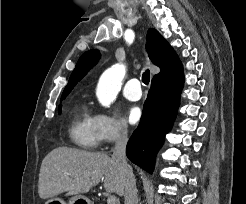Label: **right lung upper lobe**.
<instances>
[{"instance_id":"1","label":"right lung upper lobe","mask_w":246,"mask_h":204,"mask_svg":"<svg viewBox=\"0 0 246 204\" xmlns=\"http://www.w3.org/2000/svg\"><path fill=\"white\" fill-rule=\"evenodd\" d=\"M146 48L151 61L161 69V72L157 75L166 74L182 66L173 48L155 29L151 28L148 30ZM99 58L100 54L98 50H89L79 58L69 82L63 91L62 97H66L69 94L77 82L97 63Z\"/></svg>"}]
</instances>
